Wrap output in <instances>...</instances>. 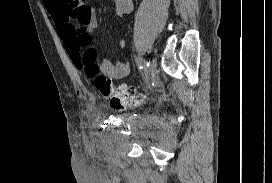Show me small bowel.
<instances>
[{
    "label": "small bowel",
    "mask_w": 272,
    "mask_h": 183,
    "mask_svg": "<svg viewBox=\"0 0 272 183\" xmlns=\"http://www.w3.org/2000/svg\"><path fill=\"white\" fill-rule=\"evenodd\" d=\"M114 3L119 16L133 10L132 0H114ZM44 5L53 17L73 63L81 70L83 51L91 45L90 35L97 25L95 10L86 0H44ZM125 45L124 40L119 42L120 49ZM98 66L103 74L114 80L124 79L131 73L130 65L122 61L103 60Z\"/></svg>",
    "instance_id": "c3829d8e"
}]
</instances>
